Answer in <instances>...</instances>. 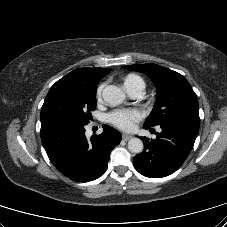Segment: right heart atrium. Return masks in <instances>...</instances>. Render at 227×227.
<instances>
[{
    "mask_svg": "<svg viewBox=\"0 0 227 227\" xmlns=\"http://www.w3.org/2000/svg\"><path fill=\"white\" fill-rule=\"evenodd\" d=\"M105 84L101 83L100 85H98L97 89H96V98L99 100L102 96V92L104 89Z\"/></svg>",
    "mask_w": 227,
    "mask_h": 227,
    "instance_id": "right-heart-atrium-1",
    "label": "right heart atrium"
}]
</instances>
